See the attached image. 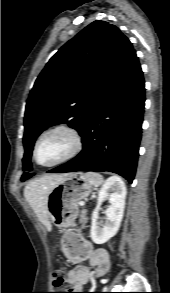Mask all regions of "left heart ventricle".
Instances as JSON below:
<instances>
[{
  "instance_id": "1",
  "label": "left heart ventricle",
  "mask_w": 170,
  "mask_h": 293,
  "mask_svg": "<svg viewBox=\"0 0 170 293\" xmlns=\"http://www.w3.org/2000/svg\"><path fill=\"white\" fill-rule=\"evenodd\" d=\"M73 147L69 133L58 130L47 135L39 144L37 159L44 164L53 163L66 156Z\"/></svg>"
}]
</instances>
